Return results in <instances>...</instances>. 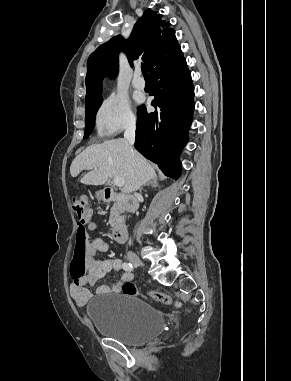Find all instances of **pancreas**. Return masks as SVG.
Segmentation results:
<instances>
[{
    "instance_id": "obj_1",
    "label": "pancreas",
    "mask_w": 291,
    "mask_h": 381,
    "mask_svg": "<svg viewBox=\"0 0 291 381\" xmlns=\"http://www.w3.org/2000/svg\"><path fill=\"white\" fill-rule=\"evenodd\" d=\"M119 207L115 204L110 212V217H109V223L111 227H115L117 222L122 219V217L119 215Z\"/></svg>"
}]
</instances>
